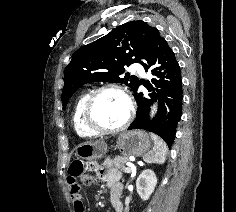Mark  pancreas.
I'll list each match as a JSON object with an SVG mask.
<instances>
[{"label":"pancreas","mask_w":236,"mask_h":212,"mask_svg":"<svg viewBox=\"0 0 236 212\" xmlns=\"http://www.w3.org/2000/svg\"><path fill=\"white\" fill-rule=\"evenodd\" d=\"M128 162V157L126 156H117L113 160V167L115 169H120L121 171L125 172V163Z\"/></svg>","instance_id":"obj_1"}]
</instances>
